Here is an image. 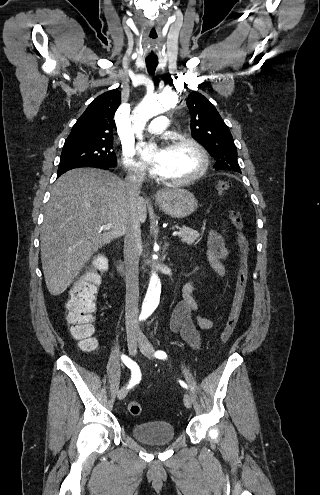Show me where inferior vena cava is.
I'll use <instances>...</instances> for the list:
<instances>
[{
  "label": "inferior vena cava",
  "instance_id": "602c4592",
  "mask_svg": "<svg viewBox=\"0 0 320 495\" xmlns=\"http://www.w3.org/2000/svg\"><path fill=\"white\" fill-rule=\"evenodd\" d=\"M144 174L141 169L130 170L124 185L130 201L135 200L141 190ZM141 244L140 222L135 214L130 218L124 239V260L126 266V306L125 319L128 331L139 332V245Z\"/></svg>",
  "mask_w": 320,
  "mask_h": 495
}]
</instances>
